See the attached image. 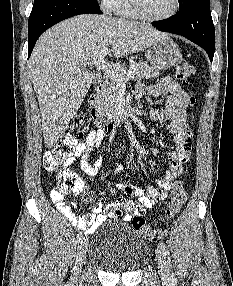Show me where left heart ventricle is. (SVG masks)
<instances>
[{"mask_svg": "<svg viewBox=\"0 0 233 286\" xmlns=\"http://www.w3.org/2000/svg\"><path fill=\"white\" fill-rule=\"evenodd\" d=\"M144 11L152 17H162L174 8V0H141Z\"/></svg>", "mask_w": 233, "mask_h": 286, "instance_id": "1", "label": "left heart ventricle"}]
</instances>
